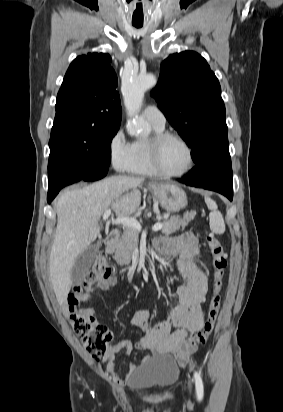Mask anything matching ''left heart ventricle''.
Wrapping results in <instances>:
<instances>
[{"instance_id":"b2bd125f","label":"left heart ventricle","mask_w":283,"mask_h":412,"mask_svg":"<svg viewBox=\"0 0 283 412\" xmlns=\"http://www.w3.org/2000/svg\"><path fill=\"white\" fill-rule=\"evenodd\" d=\"M189 162L186 147L176 139L167 140L160 153V164L164 171L177 173L184 170Z\"/></svg>"}]
</instances>
